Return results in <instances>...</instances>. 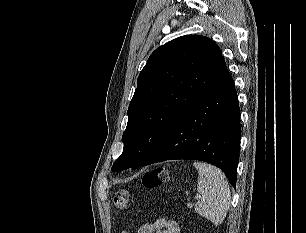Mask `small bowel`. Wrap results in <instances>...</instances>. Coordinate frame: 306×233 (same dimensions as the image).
I'll return each instance as SVG.
<instances>
[{
  "instance_id": "obj_1",
  "label": "small bowel",
  "mask_w": 306,
  "mask_h": 233,
  "mask_svg": "<svg viewBox=\"0 0 306 233\" xmlns=\"http://www.w3.org/2000/svg\"><path fill=\"white\" fill-rule=\"evenodd\" d=\"M180 231V226L176 221L159 218L153 222L143 224L137 233H180ZM122 233L130 232L122 231Z\"/></svg>"
}]
</instances>
